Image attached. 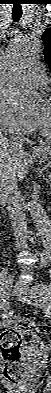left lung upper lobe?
I'll use <instances>...</instances> for the list:
<instances>
[{"label":"left lung upper lobe","mask_w":51,"mask_h":393,"mask_svg":"<svg viewBox=\"0 0 51 393\" xmlns=\"http://www.w3.org/2000/svg\"><path fill=\"white\" fill-rule=\"evenodd\" d=\"M44 43V58L51 69V28H48L42 36Z\"/></svg>","instance_id":"left-lung-upper-lobe-1"}]
</instances>
